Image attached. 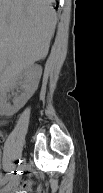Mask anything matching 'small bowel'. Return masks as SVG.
I'll use <instances>...</instances> for the list:
<instances>
[{"mask_svg":"<svg viewBox=\"0 0 103 193\" xmlns=\"http://www.w3.org/2000/svg\"><path fill=\"white\" fill-rule=\"evenodd\" d=\"M10 177H11V175H10ZM10 177L7 179V175L6 176H4V177H2L1 178V186L3 185L4 186V184L10 179ZM15 177H17V176H14L12 179H13V181H14V183L18 180V179H16V180H14V178ZM12 186H14V185H11V186H7V188H10V187H12ZM37 188H39V185L38 184H36L33 180H27V181H25V183L21 186V187H19L18 189L15 187V188H12L11 189V192H12V190L14 191L15 190V192H13V193H31L32 191H34V189H37ZM9 192H10V189H9Z\"/></svg>","mask_w":103,"mask_h":193,"instance_id":"small-bowel-1","label":"small bowel"}]
</instances>
